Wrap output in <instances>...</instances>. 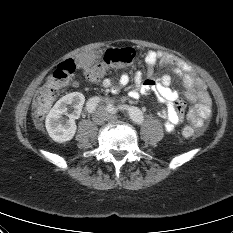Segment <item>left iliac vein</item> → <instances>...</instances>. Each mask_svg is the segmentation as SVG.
I'll list each match as a JSON object with an SVG mask.
<instances>
[{
  "label": "left iliac vein",
  "mask_w": 233,
  "mask_h": 233,
  "mask_svg": "<svg viewBox=\"0 0 233 233\" xmlns=\"http://www.w3.org/2000/svg\"><path fill=\"white\" fill-rule=\"evenodd\" d=\"M100 110L105 112L108 119H110V120H117L118 119V117L116 115L108 114L105 108L100 107Z\"/></svg>",
  "instance_id": "4c4485c4"
}]
</instances>
